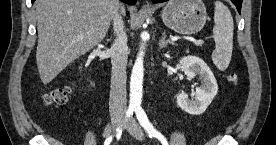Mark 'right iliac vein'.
<instances>
[{
	"mask_svg": "<svg viewBox=\"0 0 276 145\" xmlns=\"http://www.w3.org/2000/svg\"><path fill=\"white\" fill-rule=\"evenodd\" d=\"M122 121V116L121 115H113L111 117V122L113 125V128L115 129Z\"/></svg>",
	"mask_w": 276,
	"mask_h": 145,
	"instance_id": "63e3f726",
	"label": "right iliac vein"
}]
</instances>
